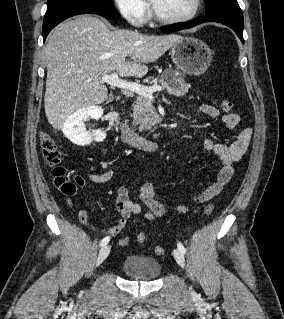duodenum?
<instances>
[{"label":"duodenum","mask_w":284,"mask_h":319,"mask_svg":"<svg viewBox=\"0 0 284 319\" xmlns=\"http://www.w3.org/2000/svg\"><path fill=\"white\" fill-rule=\"evenodd\" d=\"M119 130L121 132L122 140L125 144L141 148L148 151H156L159 148V144L153 140L144 138L143 136L136 133L125 123L119 124Z\"/></svg>","instance_id":"obj_1"}]
</instances>
